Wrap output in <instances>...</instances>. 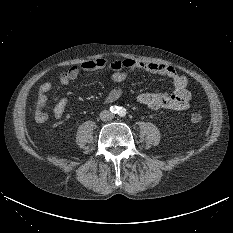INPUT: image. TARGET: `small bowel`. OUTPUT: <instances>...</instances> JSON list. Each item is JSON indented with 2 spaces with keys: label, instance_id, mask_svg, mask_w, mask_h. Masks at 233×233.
Here are the masks:
<instances>
[{
  "label": "small bowel",
  "instance_id": "c3829d8e",
  "mask_svg": "<svg viewBox=\"0 0 233 233\" xmlns=\"http://www.w3.org/2000/svg\"><path fill=\"white\" fill-rule=\"evenodd\" d=\"M105 68L111 71V80L116 83L125 81L129 73L135 70H143L148 73L163 75L171 80L173 84L172 92L166 93L155 90L153 92L142 93L138 96V101L155 110H184L189 107L191 93L188 90L187 77L178 74L172 66L165 64L135 61L132 59L108 61L106 58L101 57L71 67L68 71L59 76V83L66 86L74 81L82 72H92ZM52 87L53 82L51 81H46L39 86L35 113L40 110L45 111V118L40 120V122L45 121L47 118L45 106L47 102V94ZM122 94L123 89L121 87H114L104 96L103 101L104 103L115 102L122 96ZM67 102L66 98H62L54 106L53 115L56 120H60L63 117Z\"/></svg>",
  "mask_w": 233,
  "mask_h": 233
}]
</instances>
